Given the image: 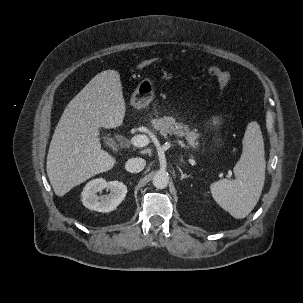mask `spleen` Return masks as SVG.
Segmentation results:
<instances>
[{
    "instance_id": "obj_1",
    "label": "spleen",
    "mask_w": 303,
    "mask_h": 303,
    "mask_svg": "<svg viewBox=\"0 0 303 303\" xmlns=\"http://www.w3.org/2000/svg\"><path fill=\"white\" fill-rule=\"evenodd\" d=\"M243 151L234 166V180L214 182L210 190L214 200L234 218H245L256 206L265 181L264 141L260 126L252 121L247 125Z\"/></svg>"
}]
</instances>
